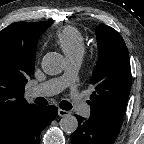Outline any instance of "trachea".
<instances>
[{"label": "trachea", "instance_id": "obj_1", "mask_svg": "<svg viewBox=\"0 0 144 144\" xmlns=\"http://www.w3.org/2000/svg\"><path fill=\"white\" fill-rule=\"evenodd\" d=\"M36 103L39 105H47V101L42 100L41 97L36 99ZM59 107L63 110H71L72 109V105L68 101H61L59 103Z\"/></svg>", "mask_w": 144, "mask_h": 144}]
</instances>
